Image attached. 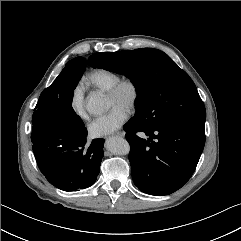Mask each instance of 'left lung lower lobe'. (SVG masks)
I'll list each match as a JSON object with an SVG mask.
<instances>
[{"label":"left lung lower lobe","mask_w":241,"mask_h":241,"mask_svg":"<svg viewBox=\"0 0 241 241\" xmlns=\"http://www.w3.org/2000/svg\"><path fill=\"white\" fill-rule=\"evenodd\" d=\"M123 128L131 146L132 179L139 190L169 195L187 183L204 148L205 122L171 118L149 128L133 117ZM137 132H144L148 140Z\"/></svg>","instance_id":"1"}]
</instances>
